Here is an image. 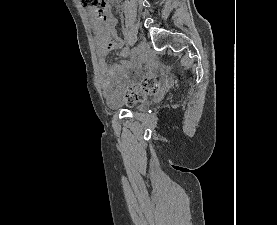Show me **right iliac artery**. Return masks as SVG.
<instances>
[{
    "label": "right iliac artery",
    "mask_w": 277,
    "mask_h": 225,
    "mask_svg": "<svg viewBox=\"0 0 277 225\" xmlns=\"http://www.w3.org/2000/svg\"><path fill=\"white\" fill-rule=\"evenodd\" d=\"M132 54H133V58L136 59V57L138 55V47H133L132 48Z\"/></svg>",
    "instance_id": "1"
}]
</instances>
